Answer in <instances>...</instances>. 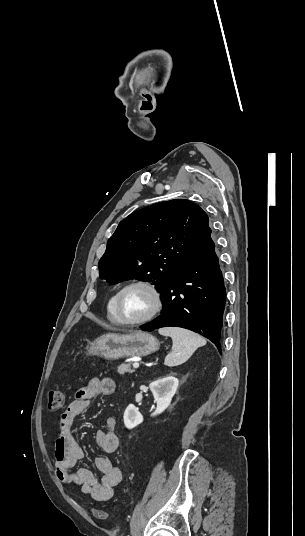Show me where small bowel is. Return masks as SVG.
I'll use <instances>...</instances> for the list:
<instances>
[{"label": "small bowel", "instance_id": "c3829d8e", "mask_svg": "<svg viewBox=\"0 0 305 536\" xmlns=\"http://www.w3.org/2000/svg\"><path fill=\"white\" fill-rule=\"evenodd\" d=\"M114 391L115 382L111 378H92L79 388L75 399L60 416L59 433L54 443L56 477L65 485L78 488L82 494L98 502L108 501L114 496L116 487L122 481V472L108 456L95 459L96 468L102 475L100 479L85 468L73 471L84 452L75 439L72 428L76 417L89 407L94 398L110 395ZM116 427V419L108 417L103 429L95 433L96 445L105 453H113L118 448Z\"/></svg>", "mask_w": 305, "mask_h": 536}]
</instances>
